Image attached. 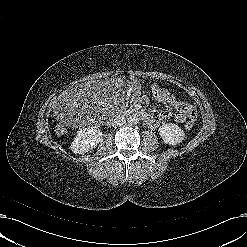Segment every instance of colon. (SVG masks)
<instances>
[{"instance_id": "5ec220e1", "label": "colon", "mask_w": 247, "mask_h": 247, "mask_svg": "<svg viewBox=\"0 0 247 247\" xmlns=\"http://www.w3.org/2000/svg\"><path fill=\"white\" fill-rule=\"evenodd\" d=\"M151 92L149 94V99H151V101L158 103L162 100H170L172 98V93L170 91H165V89L161 86H156L153 89H150ZM74 115H69L68 117L64 118V119H60L58 121H56L54 123V128L55 131L58 134H64L66 132V127H67V121L70 117H72ZM195 125V119L194 118H190L185 127L187 130H191Z\"/></svg>"}]
</instances>
